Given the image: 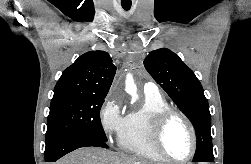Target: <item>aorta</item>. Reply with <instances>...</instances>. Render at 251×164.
I'll use <instances>...</instances> for the list:
<instances>
[{
    "label": "aorta",
    "instance_id": "762f6f07",
    "mask_svg": "<svg viewBox=\"0 0 251 164\" xmlns=\"http://www.w3.org/2000/svg\"><path fill=\"white\" fill-rule=\"evenodd\" d=\"M125 90L127 93H129L132 96V99L135 100L137 99V87L134 83L133 77L131 74H128L126 77V82H125Z\"/></svg>",
    "mask_w": 251,
    "mask_h": 164
}]
</instances>
